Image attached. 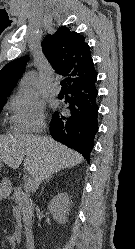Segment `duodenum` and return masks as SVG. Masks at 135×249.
<instances>
[{
  "instance_id": "1",
  "label": "duodenum",
  "mask_w": 135,
  "mask_h": 249,
  "mask_svg": "<svg viewBox=\"0 0 135 249\" xmlns=\"http://www.w3.org/2000/svg\"><path fill=\"white\" fill-rule=\"evenodd\" d=\"M26 246L29 249H34V247H35V238H34L33 230L29 231L27 236H26Z\"/></svg>"
}]
</instances>
